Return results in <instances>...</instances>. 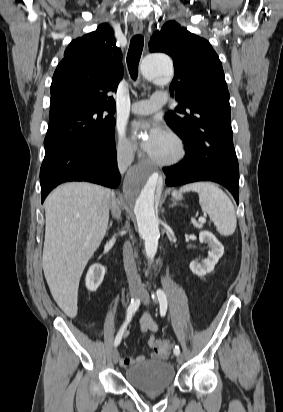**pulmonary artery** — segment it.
Segmentation results:
<instances>
[{
    "mask_svg": "<svg viewBox=\"0 0 283 412\" xmlns=\"http://www.w3.org/2000/svg\"><path fill=\"white\" fill-rule=\"evenodd\" d=\"M167 102V94L158 93L149 100H141L132 104V112L139 115H148L164 106Z\"/></svg>",
    "mask_w": 283,
    "mask_h": 412,
    "instance_id": "1",
    "label": "pulmonary artery"
}]
</instances>
